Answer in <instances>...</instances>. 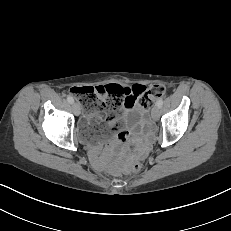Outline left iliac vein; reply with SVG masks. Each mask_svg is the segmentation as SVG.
Instances as JSON below:
<instances>
[{"instance_id":"4c4485c4","label":"left iliac vein","mask_w":231,"mask_h":231,"mask_svg":"<svg viewBox=\"0 0 231 231\" xmlns=\"http://www.w3.org/2000/svg\"><path fill=\"white\" fill-rule=\"evenodd\" d=\"M151 116L154 120H158L160 116V108L158 106H154L151 111Z\"/></svg>"}]
</instances>
